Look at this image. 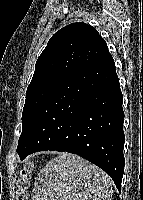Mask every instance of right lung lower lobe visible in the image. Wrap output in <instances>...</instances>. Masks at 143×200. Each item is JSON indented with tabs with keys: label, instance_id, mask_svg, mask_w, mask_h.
Instances as JSON below:
<instances>
[{
	"label": "right lung lower lobe",
	"instance_id": "right-lung-lower-lobe-1",
	"mask_svg": "<svg viewBox=\"0 0 143 200\" xmlns=\"http://www.w3.org/2000/svg\"><path fill=\"white\" fill-rule=\"evenodd\" d=\"M122 92L109 54L69 75L32 120L17 153L77 154L103 169L120 191L125 159Z\"/></svg>",
	"mask_w": 143,
	"mask_h": 200
}]
</instances>
